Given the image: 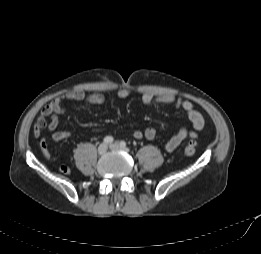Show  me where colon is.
<instances>
[{
    "label": "colon",
    "mask_w": 261,
    "mask_h": 254,
    "mask_svg": "<svg viewBox=\"0 0 261 254\" xmlns=\"http://www.w3.org/2000/svg\"><path fill=\"white\" fill-rule=\"evenodd\" d=\"M196 146H197L196 140H194V139L189 140L184 149L185 154L187 156L194 155L196 152ZM59 170L64 174H69V172H70L69 168L65 165H61L59 167Z\"/></svg>",
    "instance_id": "colon-1"
}]
</instances>
